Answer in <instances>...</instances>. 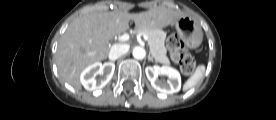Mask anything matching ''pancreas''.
<instances>
[{
  "label": "pancreas",
  "instance_id": "cf45deb5",
  "mask_svg": "<svg viewBox=\"0 0 276 120\" xmlns=\"http://www.w3.org/2000/svg\"><path fill=\"white\" fill-rule=\"evenodd\" d=\"M136 32H141L147 35L148 45L150 47L151 54L155 58L156 62L162 64H170L168 57L166 56L167 50L164 45L165 33L158 29H138Z\"/></svg>",
  "mask_w": 276,
  "mask_h": 120
}]
</instances>
